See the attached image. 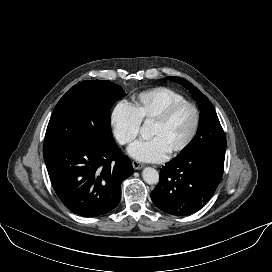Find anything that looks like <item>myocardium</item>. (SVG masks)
I'll use <instances>...</instances> for the list:
<instances>
[{"instance_id":"1","label":"myocardium","mask_w":272,"mask_h":272,"mask_svg":"<svg viewBox=\"0 0 272 272\" xmlns=\"http://www.w3.org/2000/svg\"><path fill=\"white\" fill-rule=\"evenodd\" d=\"M186 107L191 109V111L193 112L194 122H193L192 130L184 142H182L179 146H177L176 148H174L173 150L168 152L169 156H175V155L181 153L195 139V137L199 131L200 121H201L199 109L192 102L181 101V102H177V103H174V104L168 106L165 110H163L160 114H158L156 117H154L151 120V123H158V124L166 123L167 121H169L173 117V115L176 112H178L180 109L186 108Z\"/></svg>"}]
</instances>
